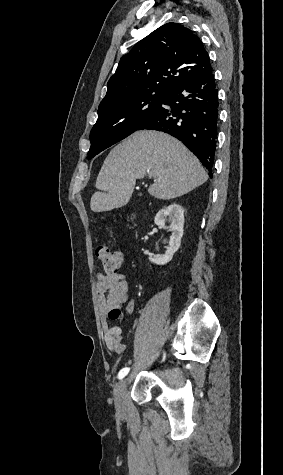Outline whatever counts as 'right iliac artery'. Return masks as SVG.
<instances>
[{
    "mask_svg": "<svg viewBox=\"0 0 283 475\" xmlns=\"http://www.w3.org/2000/svg\"><path fill=\"white\" fill-rule=\"evenodd\" d=\"M129 370L130 368H127V367L121 369L120 372L118 373V378L122 379L123 377H125L128 374Z\"/></svg>",
    "mask_w": 283,
    "mask_h": 475,
    "instance_id": "82829eb1",
    "label": "right iliac artery"
}]
</instances>
